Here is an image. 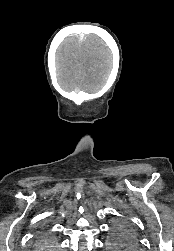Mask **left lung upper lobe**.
<instances>
[{"label": "left lung upper lobe", "mask_w": 174, "mask_h": 251, "mask_svg": "<svg viewBox=\"0 0 174 251\" xmlns=\"http://www.w3.org/2000/svg\"><path fill=\"white\" fill-rule=\"evenodd\" d=\"M114 235L112 243L122 249L126 248L127 244L132 243L135 239L134 231L126 222L116 224ZM113 248L115 249V247Z\"/></svg>", "instance_id": "left-lung-upper-lobe-1"}]
</instances>
